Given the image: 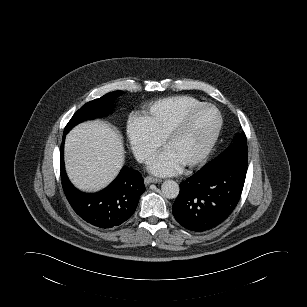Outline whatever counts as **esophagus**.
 <instances>
[{"label": "esophagus", "mask_w": 307, "mask_h": 307, "mask_svg": "<svg viewBox=\"0 0 307 307\" xmlns=\"http://www.w3.org/2000/svg\"><path fill=\"white\" fill-rule=\"evenodd\" d=\"M144 182H145V184L160 183V182H162V179L155 178V177H152V176H147V177H145Z\"/></svg>", "instance_id": "34e87169"}]
</instances>
